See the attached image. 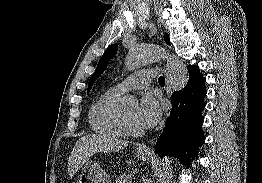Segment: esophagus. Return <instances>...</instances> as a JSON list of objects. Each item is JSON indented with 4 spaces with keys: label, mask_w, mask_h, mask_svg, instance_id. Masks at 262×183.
I'll return each mask as SVG.
<instances>
[{
    "label": "esophagus",
    "mask_w": 262,
    "mask_h": 183,
    "mask_svg": "<svg viewBox=\"0 0 262 183\" xmlns=\"http://www.w3.org/2000/svg\"><path fill=\"white\" fill-rule=\"evenodd\" d=\"M164 65V71H165V74H166V76H168V71H167V69H166V67H165V64H163ZM170 93V88L169 87H167V94H169ZM141 150H144V151H149V149H147V148H141Z\"/></svg>",
    "instance_id": "1"
}]
</instances>
